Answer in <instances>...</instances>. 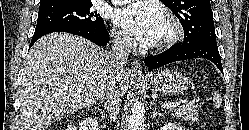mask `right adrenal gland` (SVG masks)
<instances>
[{
    "mask_svg": "<svg viewBox=\"0 0 249 130\" xmlns=\"http://www.w3.org/2000/svg\"><path fill=\"white\" fill-rule=\"evenodd\" d=\"M96 109H97V112H99L101 114L102 118H104L103 110L100 109L99 107H97Z\"/></svg>",
    "mask_w": 249,
    "mask_h": 130,
    "instance_id": "2a0ac1e0",
    "label": "right adrenal gland"
}]
</instances>
